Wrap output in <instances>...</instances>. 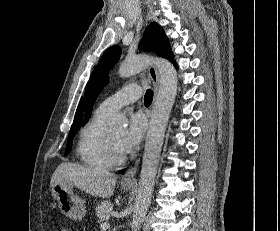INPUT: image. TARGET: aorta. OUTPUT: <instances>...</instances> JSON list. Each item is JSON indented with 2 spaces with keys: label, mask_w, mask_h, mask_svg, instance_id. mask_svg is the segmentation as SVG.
I'll return each mask as SVG.
<instances>
[{
  "label": "aorta",
  "mask_w": 280,
  "mask_h": 231,
  "mask_svg": "<svg viewBox=\"0 0 280 231\" xmlns=\"http://www.w3.org/2000/svg\"><path fill=\"white\" fill-rule=\"evenodd\" d=\"M151 64H155L158 70L159 88L146 135L131 223L132 231H139L142 219L146 215V211H148L151 203L161 147L171 110L177 96L178 80L174 66L168 60H163V58L136 56L134 60H124L118 70L120 78H130V76L139 74V72H142ZM107 123L111 129H119L121 131V129L127 127L128 121L124 114H116V116L109 117Z\"/></svg>",
  "instance_id": "1"
}]
</instances>
